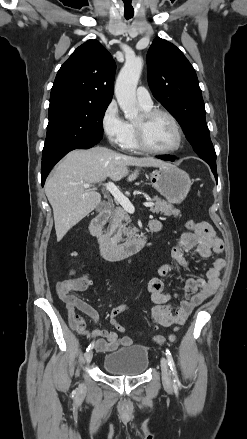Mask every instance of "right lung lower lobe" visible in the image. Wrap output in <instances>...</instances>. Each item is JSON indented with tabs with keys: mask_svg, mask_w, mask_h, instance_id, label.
Returning <instances> with one entry per match:
<instances>
[{
	"mask_svg": "<svg viewBox=\"0 0 247 439\" xmlns=\"http://www.w3.org/2000/svg\"><path fill=\"white\" fill-rule=\"evenodd\" d=\"M94 145L89 146H79L74 147L66 150H62L53 154H50L48 156H45L42 158V166H41V178H42V186L45 183V179L48 176L50 170L53 168V166L62 159L68 152L74 150V149H88L93 147Z\"/></svg>",
	"mask_w": 247,
	"mask_h": 439,
	"instance_id": "right-lung-lower-lobe-1",
	"label": "right lung lower lobe"
}]
</instances>
